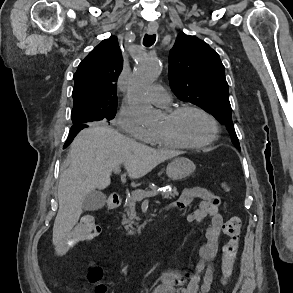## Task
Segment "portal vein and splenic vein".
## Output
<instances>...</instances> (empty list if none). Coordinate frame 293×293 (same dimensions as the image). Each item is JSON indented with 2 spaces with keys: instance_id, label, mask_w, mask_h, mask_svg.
Returning <instances> with one entry per match:
<instances>
[{
  "instance_id": "18ae733b",
  "label": "portal vein and splenic vein",
  "mask_w": 293,
  "mask_h": 293,
  "mask_svg": "<svg viewBox=\"0 0 293 293\" xmlns=\"http://www.w3.org/2000/svg\"><path fill=\"white\" fill-rule=\"evenodd\" d=\"M113 171H114V173H119L120 172V167H115ZM157 194H158L157 191H150V192H146V193H140V194H137V199L138 200H143L144 198L153 197V196H156Z\"/></svg>"
}]
</instances>
